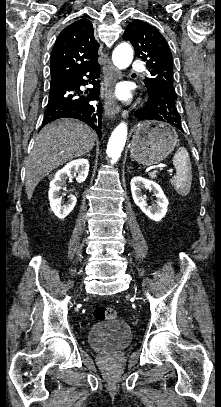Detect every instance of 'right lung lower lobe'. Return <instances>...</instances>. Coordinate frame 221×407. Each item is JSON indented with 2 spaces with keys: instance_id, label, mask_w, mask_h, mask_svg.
I'll list each match as a JSON object with an SVG mask.
<instances>
[{
  "instance_id": "obj_1",
  "label": "right lung lower lobe",
  "mask_w": 221,
  "mask_h": 407,
  "mask_svg": "<svg viewBox=\"0 0 221 407\" xmlns=\"http://www.w3.org/2000/svg\"><path fill=\"white\" fill-rule=\"evenodd\" d=\"M99 77L100 65L96 62L89 68L50 85L42 127L53 120L69 117L85 122L101 136L102 105L92 102L99 100ZM88 83L92 84L93 88L81 91L80 86Z\"/></svg>"
}]
</instances>
